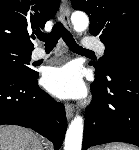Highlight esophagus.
<instances>
[{
    "instance_id": "34e87169",
    "label": "esophagus",
    "mask_w": 139,
    "mask_h": 150,
    "mask_svg": "<svg viewBox=\"0 0 139 150\" xmlns=\"http://www.w3.org/2000/svg\"><path fill=\"white\" fill-rule=\"evenodd\" d=\"M60 18L66 30L71 31L70 8L67 2L63 3L60 7ZM65 110L66 117L68 120H70L74 114V106L70 103H67L65 105Z\"/></svg>"
}]
</instances>
